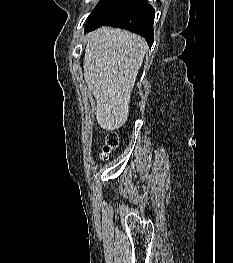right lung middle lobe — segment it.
Listing matches in <instances>:
<instances>
[{
  "mask_svg": "<svg viewBox=\"0 0 233 263\" xmlns=\"http://www.w3.org/2000/svg\"><path fill=\"white\" fill-rule=\"evenodd\" d=\"M129 0H101L90 15L88 22L105 23L113 18Z\"/></svg>",
  "mask_w": 233,
  "mask_h": 263,
  "instance_id": "obj_1",
  "label": "right lung middle lobe"
}]
</instances>
